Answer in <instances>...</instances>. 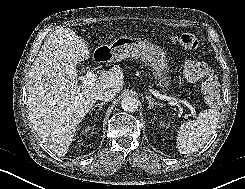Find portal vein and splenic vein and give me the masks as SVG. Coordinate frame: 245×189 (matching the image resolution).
I'll return each mask as SVG.
<instances>
[{
	"label": "portal vein and splenic vein",
	"instance_id": "1",
	"mask_svg": "<svg viewBox=\"0 0 245 189\" xmlns=\"http://www.w3.org/2000/svg\"><path fill=\"white\" fill-rule=\"evenodd\" d=\"M97 76L98 75L96 73H94L92 70H90L86 73V75L80 76L79 79L82 80V86H87V85L91 84L92 82H94L97 79ZM150 91H151L152 95H154L155 97H157L161 100L169 101L174 105L184 104L185 106H187L190 109L193 116L196 115L195 109L192 107V105L188 101L182 100V99L178 100L174 97L162 95V94L155 92L153 90H150Z\"/></svg>",
	"mask_w": 245,
	"mask_h": 189
}]
</instances>
